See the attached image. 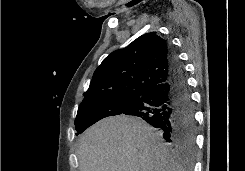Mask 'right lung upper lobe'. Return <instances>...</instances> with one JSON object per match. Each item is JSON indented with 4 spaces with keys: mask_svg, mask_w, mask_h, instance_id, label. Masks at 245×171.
Wrapping results in <instances>:
<instances>
[{
    "mask_svg": "<svg viewBox=\"0 0 245 171\" xmlns=\"http://www.w3.org/2000/svg\"><path fill=\"white\" fill-rule=\"evenodd\" d=\"M169 50V43L151 32L112 52L95 70L83 101L118 95L141 97L169 78Z\"/></svg>",
    "mask_w": 245,
    "mask_h": 171,
    "instance_id": "1",
    "label": "right lung upper lobe"
}]
</instances>
